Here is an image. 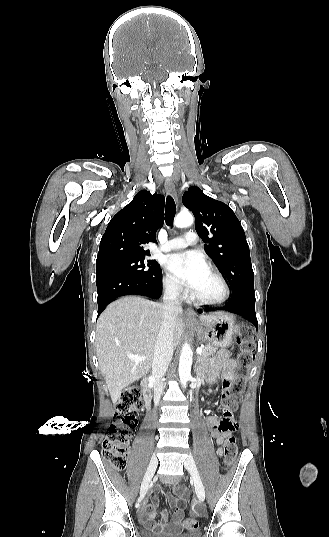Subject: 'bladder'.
<instances>
[{
    "mask_svg": "<svg viewBox=\"0 0 329 537\" xmlns=\"http://www.w3.org/2000/svg\"><path fill=\"white\" fill-rule=\"evenodd\" d=\"M141 534H142V537H200V533L198 531L171 534V533L154 532L151 530H142Z\"/></svg>",
    "mask_w": 329,
    "mask_h": 537,
    "instance_id": "bladder-1",
    "label": "bladder"
}]
</instances>
